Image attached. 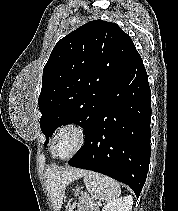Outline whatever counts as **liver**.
<instances>
[{"mask_svg":"<svg viewBox=\"0 0 178 211\" xmlns=\"http://www.w3.org/2000/svg\"><path fill=\"white\" fill-rule=\"evenodd\" d=\"M84 172L79 169L58 166H52L46 169L44 176L55 211H60L66 187L69 183L81 178Z\"/></svg>","mask_w":178,"mask_h":211,"instance_id":"6515ba94","label":"liver"}]
</instances>
